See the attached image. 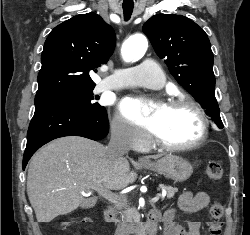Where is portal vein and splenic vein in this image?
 I'll use <instances>...</instances> for the list:
<instances>
[{"mask_svg":"<svg viewBox=\"0 0 250 235\" xmlns=\"http://www.w3.org/2000/svg\"><path fill=\"white\" fill-rule=\"evenodd\" d=\"M99 193H100L102 196H104L105 198H107L108 200L114 201V199H113V194H112L111 192H109V191H107V190H101V191H99ZM163 196H165V195H163ZM159 198H160V195H157V196H155L154 198H152V199L150 200V202H151V203H156V202L159 200Z\"/></svg>","mask_w":250,"mask_h":235,"instance_id":"obj_1","label":"portal vein and splenic vein"}]
</instances>
